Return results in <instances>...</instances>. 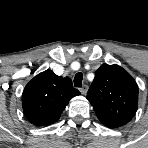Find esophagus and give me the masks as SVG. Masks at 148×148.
<instances>
[{
  "mask_svg": "<svg viewBox=\"0 0 148 148\" xmlns=\"http://www.w3.org/2000/svg\"><path fill=\"white\" fill-rule=\"evenodd\" d=\"M87 89H88L87 85H83V86L80 88V92H81L83 95H85V94L87 93Z\"/></svg>",
  "mask_w": 148,
  "mask_h": 148,
  "instance_id": "obj_1",
  "label": "esophagus"
}]
</instances>
